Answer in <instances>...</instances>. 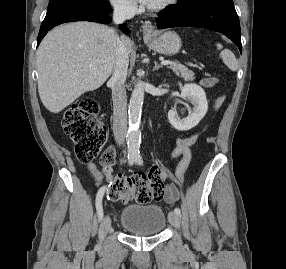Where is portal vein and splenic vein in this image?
<instances>
[{
  "instance_id": "1",
  "label": "portal vein and splenic vein",
  "mask_w": 286,
  "mask_h": 269,
  "mask_svg": "<svg viewBox=\"0 0 286 269\" xmlns=\"http://www.w3.org/2000/svg\"><path fill=\"white\" fill-rule=\"evenodd\" d=\"M172 62L171 61H168V60H162L161 61V64L162 65H169V64H171Z\"/></svg>"
}]
</instances>
